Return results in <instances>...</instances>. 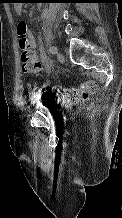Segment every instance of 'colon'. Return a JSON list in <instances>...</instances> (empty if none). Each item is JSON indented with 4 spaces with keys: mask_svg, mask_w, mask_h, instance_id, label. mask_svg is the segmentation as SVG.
Here are the masks:
<instances>
[{
    "mask_svg": "<svg viewBox=\"0 0 122 218\" xmlns=\"http://www.w3.org/2000/svg\"><path fill=\"white\" fill-rule=\"evenodd\" d=\"M17 37L19 41V47L21 50V63L22 65L31 71L38 69V63L35 57V53L31 48V36L28 31L27 24L24 21H20L17 24ZM97 90V83L94 80H87L82 82L77 88H67L63 90L57 89L62 99L69 104L77 103L83 100H87L92 97Z\"/></svg>",
    "mask_w": 122,
    "mask_h": 218,
    "instance_id": "obj_1",
    "label": "colon"
}]
</instances>
